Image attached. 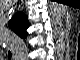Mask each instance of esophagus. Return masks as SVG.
<instances>
[{
    "instance_id": "esophagus-1",
    "label": "esophagus",
    "mask_w": 80,
    "mask_h": 60,
    "mask_svg": "<svg viewBox=\"0 0 80 60\" xmlns=\"http://www.w3.org/2000/svg\"><path fill=\"white\" fill-rule=\"evenodd\" d=\"M11 54L13 55V51L10 49Z\"/></svg>"
}]
</instances>
